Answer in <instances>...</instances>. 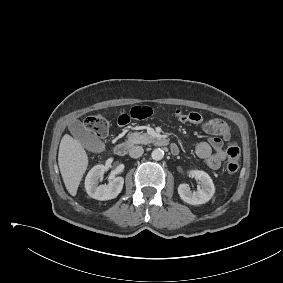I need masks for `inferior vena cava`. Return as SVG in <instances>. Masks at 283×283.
Wrapping results in <instances>:
<instances>
[{
    "label": "inferior vena cava",
    "instance_id": "602c4592",
    "mask_svg": "<svg viewBox=\"0 0 283 283\" xmlns=\"http://www.w3.org/2000/svg\"><path fill=\"white\" fill-rule=\"evenodd\" d=\"M144 152V149L141 146H133L129 150V155L132 158H139Z\"/></svg>",
    "mask_w": 283,
    "mask_h": 283
}]
</instances>
